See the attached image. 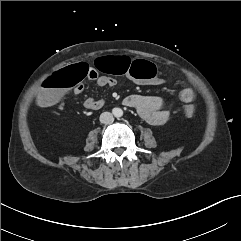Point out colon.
Listing matches in <instances>:
<instances>
[{
  "label": "colon",
  "instance_id": "obj_1",
  "mask_svg": "<svg viewBox=\"0 0 241 241\" xmlns=\"http://www.w3.org/2000/svg\"><path fill=\"white\" fill-rule=\"evenodd\" d=\"M101 70L113 74L130 76L138 79H151L156 75V66L147 59L138 58L132 61L126 56L107 57L98 62ZM91 68L87 62H76L67 66L64 70L55 73L47 79L38 95V102L42 106L54 105L62 93L69 88L77 86L90 74ZM184 114L187 117L195 115L196 109L193 105L184 106Z\"/></svg>",
  "mask_w": 241,
  "mask_h": 241
}]
</instances>
